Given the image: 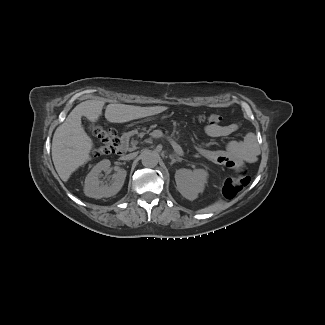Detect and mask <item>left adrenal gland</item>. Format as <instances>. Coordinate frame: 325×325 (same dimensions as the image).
Instances as JSON below:
<instances>
[{"label":"left adrenal gland","instance_id":"left-adrenal-gland-1","mask_svg":"<svg viewBox=\"0 0 325 325\" xmlns=\"http://www.w3.org/2000/svg\"><path fill=\"white\" fill-rule=\"evenodd\" d=\"M169 158L171 159L170 165H173L176 162H181L183 160V158L174 155H169Z\"/></svg>","mask_w":325,"mask_h":325}]
</instances>
